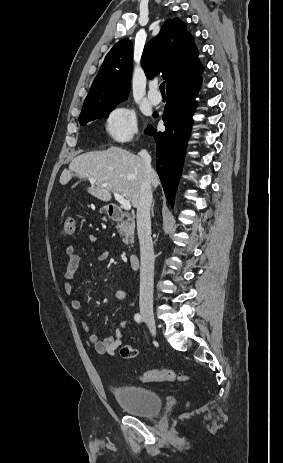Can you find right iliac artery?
<instances>
[{
    "label": "right iliac artery",
    "instance_id": "obj_1",
    "mask_svg": "<svg viewBox=\"0 0 283 463\" xmlns=\"http://www.w3.org/2000/svg\"><path fill=\"white\" fill-rule=\"evenodd\" d=\"M134 319H135V321H136L137 323H141V322H142V317H141V315L138 314V313L135 314Z\"/></svg>",
    "mask_w": 283,
    "mask_h": 463
}]
</instances>
